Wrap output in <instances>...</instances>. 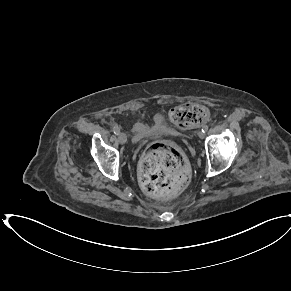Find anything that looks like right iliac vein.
<instances>
[{"label": "right iliac vein", "mask_w": 291, "mask_h": 291, "mask_svg": "<svg viewBox=\"0 0 291 291\" xmlns=\"http://www.w3.org/2000/svg\"><path fill=\"white\" fill-rule=\"evenodd\" d=\"M118 140L120 144H125L127 142V136L124 132L119 133Z\"/></svg>", "instance_id": "obj_1"}]
</instances>
